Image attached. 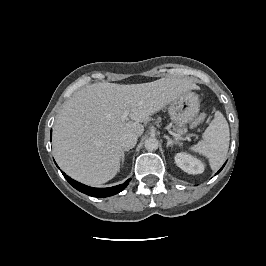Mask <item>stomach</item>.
I'll return each mask as SVG.
<instances>
[{
    "instance_id": "0dacf381",
    "label": "stomach",
    "mask_w": 266,
    "mask_h": 266,
    "mask_svg": "<svg viewBox=\"0 0 266 266\" xmlns=\"http://www.w3.org/2000/svg\"><path fill=\"white\" fill-rule=\"evenodd\" d=\"M200 100L197 94L187 91L172 101L168 112L171 120L181 128L192 121L199 113Z\"/></svg>"
}]
</instances>
